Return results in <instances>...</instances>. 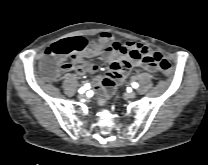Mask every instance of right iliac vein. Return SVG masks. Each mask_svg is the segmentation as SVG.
<instances>
[{"mask_svg":"<svg viewBox=\"0 0 208 165\" xmlns=\"http://www.w3.org/2000/svg\"><path fill=\"white\" fill-rule=\"evenodd\" d=\"M80 97H85V93H81L80 94Z\"/></svg>","mask_w":208,"mask_h":165,"instance_id":"63e3f726","label":"right iliac vein"}]
</instances>
